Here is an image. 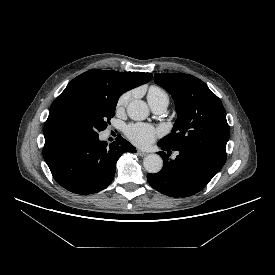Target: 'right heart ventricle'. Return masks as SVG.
Returning <instances> with one entry per match:
<instances>
[{"mask_svg":"<svg viewBox=\"0 0 275 275\" xmlns=\"http://www.w3.org/2000/svg\"><path fill=\"white\" fill-rule=\"evenodd\" d=\"M148 102L165 100L169 103L168 94L158 86H151L147 94Z\"/></svg>","mask_w":275,"mask_h":275,"instance_id":"right-heart-ventricle-1","label":"right heart ventricle"}]
</instances>
